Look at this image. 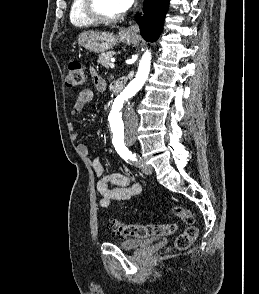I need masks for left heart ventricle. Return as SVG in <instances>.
Listing matches in <instances>:
<instances>
[{"mask_svg":"<svg viewBox=\"0 0 259 294\" xmlns=\"http://www.w3.org/2000/svg\"><path fill=\"white\" fill-rule=\"evenodd\" d=\"M97 10L105 16H116L123 12L119 0H97Z\"/></svg>","mask_w":259,"mask_h":294,"instance_id":"obj_1","label":"left heart ventricle"}]
</instances>
